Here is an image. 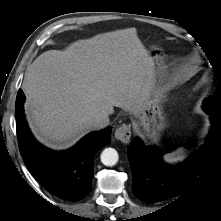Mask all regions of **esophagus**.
Masks as SVG:
<instances>
[{
    "label": "esophagus",
    "instance_id": "1",
    "mask_svg": "<svg viewBox=\"0 0 221 221\" xmlns=\"http://www.w3.org/2000/svg\"><path fill=\"white\" fill-rule=\"evenodd\" d=\"M115 138L123 143H128L132 136L131 126L123 124L115 130Z\"/></svg>",
    "mask_w": 221,
    "mask_h": 221
}]
</instances>
